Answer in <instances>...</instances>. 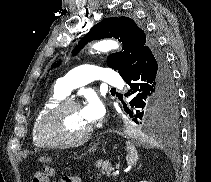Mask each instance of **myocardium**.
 <instances>
[{"instance_id":"myocardium-1","label":"myocardium","mask_w":211,"mask_h":182,"mask_svg":"<svg viewBox=\"0 0 211 182\" xmlns=\"http://www.w3.org/2000/svg\"><path fill=\"white\" fill-rule=\"evenodd\" d=\"M70 107L81 108L78 102L70 99H64L44 114L37 126L36 131L37 139L41 145L46 147H54L67 144H80L85 142L91 136L93 133L92 125L82 135L73 138H53L48 133V127L51 121Z\"/></svg>"}]
</instances>
